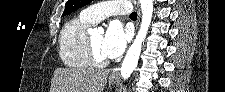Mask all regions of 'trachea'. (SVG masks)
<instances>
[{"label":"trachea","mask_w":225,"mask_h":92,"mask_svg":"<svg viewBox=\"0 0 225 92\" xmlns=\"http://www.w3.org/2000/svg\"><path fill=\"white\" fill-rule=\"evenodd\" d=\"M130 18H137V13L136 12H132L131 14H130Z\"/></svg>","instance_id":"obj_1"}]
</instances>
